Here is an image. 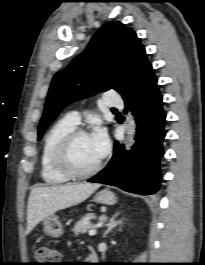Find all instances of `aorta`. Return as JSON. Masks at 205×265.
Segmentation results:
<instances>
[{
    "instance_id": "1",
    "label": "aorta",
    "mask_w": 205,
    "mask_h": 265,
    "mask_svg": "<svg viewBox=\"0 0 205 265\" xmlns=\"http://www.w3.org/2000/svg\"><path fill=\"white\" fill-rule=\"evenodd\" d=\"M128 142H127V147H129L133 142H134V137H135V121L130 119L128 121Z\"/></svg>"
}]
</instances>
